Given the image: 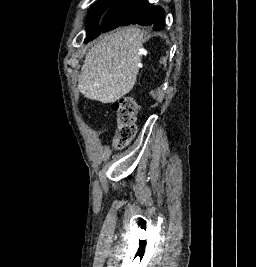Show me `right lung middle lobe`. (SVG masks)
I'll return each instance as SVG.
<instances>
[{
  "instance_id": "right-lung-middle-lobe-1",
  "label": "right lung middle lobe",
  "mask_w": 256,
  "mask_h": 267,
  "mask_svg": "<svg viewBox=\"0 0 256 267\" xmlns=\"http://www.w3.org/2000/svg\"><path fill=\"white\" fill-rule=\"evenodd\" d=\"M143 0H100L89 10L85 43L107 32Z\"/></svg>"
}]
</instances>
